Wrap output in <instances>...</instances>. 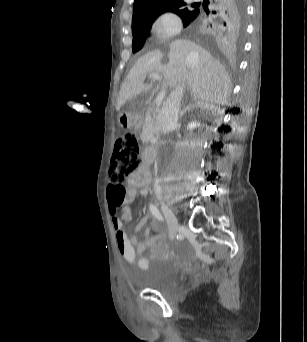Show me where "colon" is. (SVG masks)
<instances>
[{
  "instance_id": "5ec220e1",
  "label": "colon",
  "mask_w": 307,
  "mask_h": 342,
  "mask_svg": "<svg viewBox=\"0 0 307 342\" xmlns=\"http://www.w3.org/2000/svg\"><path fill=\"white\" fill-rule=\"evenodd\" d=\"M140 144L136 135L125 133L118 137L113 152V161L110 167L109 195L111 205L116 207V189H123V201L125 198L124 180L140 166ZM130 214L125 213V219H129Z\"/></svg>"
}]
</instances>
